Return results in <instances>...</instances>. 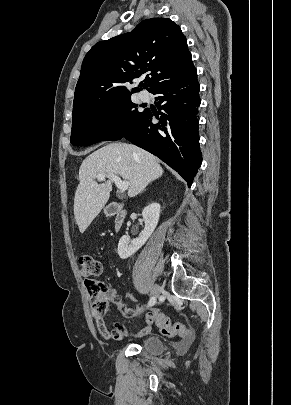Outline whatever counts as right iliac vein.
Listing matches in <instances>:
<instances>
[{
    "label": "right iliac vein",
    "mask_w": 291,
    "mask_h": 405,
    "mask_svg": "<svg viewBox=\"0 0 291 405\" xmlns=\"http://www.w3.org/2000/svg\"><path fill=\"white\" fill-rule=\"evenodd\" d=\"M160 291H161V288H160L157 284H155V285L152 287V289H151V294H152V297L155 298V300L159 297Z\"/></svg>",
    "instance_id": "1"
}]
</instances>
